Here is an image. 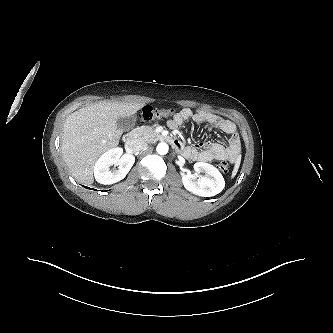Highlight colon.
Returning a JSON list of instances; mask_svg holds the SVG:
<instances>
[{"label": "colon", "mask_w": 333, "mask_h": 333, "mask_svg": "<svg viewBox=\"0 0 333 333\" xmlns=\"http://www.w3.org/2000/svg\"><path fill=\"white\" fill-rule=\"evenodd\" d=\"M173 114H174L173 109H156L151 106H145L139 114V120L142 123H146L153 119L169 117ZM228 168L229 166L226 161H222L221 163L218 164V169L223 173H226L228 171Z\"/></svg>", "instance_id": "obj_1"}]
</instances>
